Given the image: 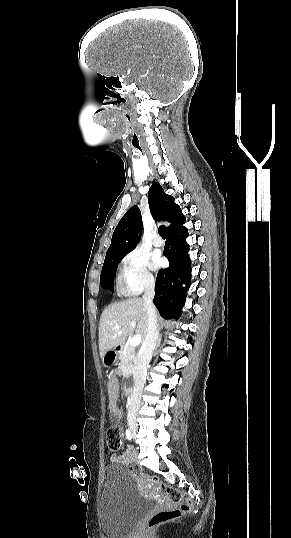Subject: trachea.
Wrapping results in <instances>:
<instances>
[{"instance_id": "3493384b", "label": "trachea", "mask_w": 291, "mask_h": 538, "mask_svg": "<svg viewBox=\"0 0 291 538\" xmlns=\"http://www.w3.org/2000/svg\"><path fill=\"white\" fill-rule=\"evenodd\" d=\"M158 232H159L160 236H161L163 239L166 238V232H165V226H164V225L159 226V228H158Z\"/></svg>"}]
</instances>
